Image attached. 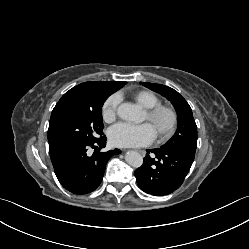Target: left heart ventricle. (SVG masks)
<instances>
[{"label":"left heart ventricle","instance_id":"obj_1","mask_svg":"<svg viewBox=\"0 0 249 249\" xmlns=\"http://www.w3.org/2000/svg\"><path fill=\"white\" fill-rule=\"evenodd\" d=\"M147 118V115H145ZM168 118L166 115H162L156 122L151 123L155 132L157 133L160 129H162L167 124Z\"/></svg>","mask_w":249,"mask_h":249}]
</instances>
